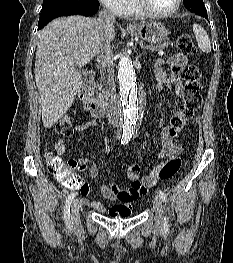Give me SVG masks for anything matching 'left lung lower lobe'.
I'll return each mask as SVG.
<instances>
[{"instance_id": "0a47b994", "label": "left lung lower lobe", "mask_w": 233, "mask_h": 263, "mask_svg": "<svg viewBox=\"0 0 233 263\" xmlns=\"http://www.w3.org/2000/svg\"><path fill=\"white\" fill-rule=\"evenodd\" d=\"M201 16H203L207 19V13H203V14H201Z\"/></svg>"}]
</instances>
